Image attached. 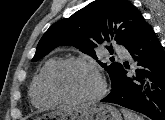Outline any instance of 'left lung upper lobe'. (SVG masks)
Instances as JSON below:
<instances>
[{
  "instance_id": "obj_1",
  "label": "left lung upper lobe",
  "mask_w": 165,
  "mask_h": 120,
  "mask_svg": "<svg viewBox=\"0 0 165 120\" xmlns=\"http://www.w3.org/2000/svg\"><path fill=\"white\" fill-rule=\"evenodd\" d=\"M143 20L142 14L130 1L96 0L50 26L39 41L32 61L39 60L60 45H73L97 60L95 48L112 40L126 46ZM107 48L112 54V47ZM98 62L109 73L114 90L122 64Z\"/></svg>"
}]
</instances>
